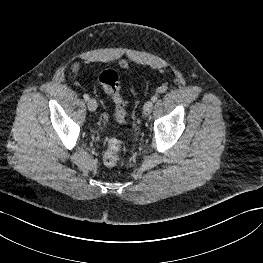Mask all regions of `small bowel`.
I'll return each instance as SVG.
<instances>
[{"label": "small bowel", "instance_id": "1", "mask_svg": "<svg viewBox=\"0 0 263 263\" xmlns=\"http://www.w3.org/2000/svg\"><path fill=\"white\" fill-rule=\"evenodd\" d=\"M78 70H79V65L78 64H73L72 65V71H73L74 75H77Z\"/></svg>", "mask_w": 263, "mask_h": 263}]
</instances>
